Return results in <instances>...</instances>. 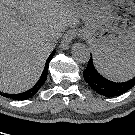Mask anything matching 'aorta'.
Segmentation results:
<instances>
[{"label": "aorta", "mask_w": 135, "mask_h": 135, "mask_svg": "<svg viewBox=\"0 0 135 135\" xmlns=\"http://www.w3.org/2000/svg\"><path fill=\"white\" fill-rule=\"evenodd\" d=\"M72 56L80 64L87 63L90 59V50L83 43H75L71 49Z\"/></svg>", "instance_id": "762f6f07"}]
</instances>
